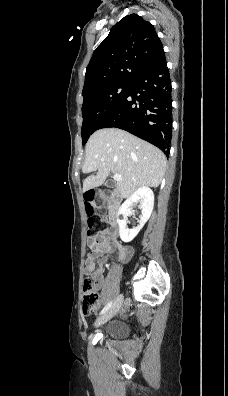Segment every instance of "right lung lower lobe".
<instances>
[{
  "label": "right lung lower lobe",
  "mask_w": 228,
  "mask_h": 396,
  "mask_svg": "<svg viewBox=\"0 0 228 396\" xmlns=\"http://www.w3.org/2000/svg\"><path fill=\"white\" fill-rule=\"evenodd\" d=\"M171 80L163 46L131 82L118 105L99 129L126 130L160 148L167 156L172 134Z\"/></svg>",
  "instance_id": "obj_1"
}]
</instances>
